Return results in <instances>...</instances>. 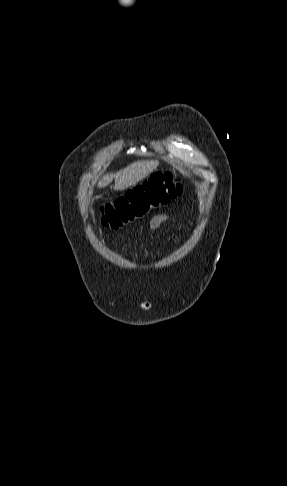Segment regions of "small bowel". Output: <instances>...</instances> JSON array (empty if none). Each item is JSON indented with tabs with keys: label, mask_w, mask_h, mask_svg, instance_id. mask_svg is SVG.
Returning <instances> with one entry per match:
<instances>
[{
	"label": "small bowel",
	"mask_w": 287,
	"mask_h": 486,
	"mask_svg": "<svg viewBox=\"0 0 287 486\" xmlns=\"http://www.w3.org/2000/svg\"><path fill=\"white\" fill-rule=\"evenodd\" d=\"M171 217L168 214L155 215L149 222V229L151 231L159 229L164 223L168 222Z\"/></svg>",
	"instance_id": "small-bowel-1"
}]
</instances>
